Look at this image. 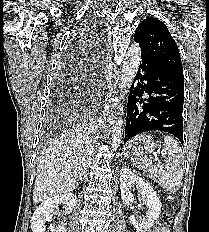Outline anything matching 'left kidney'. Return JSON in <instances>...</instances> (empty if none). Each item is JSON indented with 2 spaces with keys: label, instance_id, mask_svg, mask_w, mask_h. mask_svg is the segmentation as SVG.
<instances>
[{
  "label": "left kidney",
  "instance_id": "1",
  "mask_svg": "<svg viewBox=\"0 0 209 232\" xmlns=\"http://www.w3.org/2000/svg\"><path fill=\"white\" fill-rule=\"evenodd\" d=\"M132 187H136L139 190L141 199L147 206L148 212L142 221H138L134 215L130 216L129 220L137 232H146L158 219L162 204L156 191H154L150 184L133 173L129 167L124 166L120 171V189L121 198L125 205L134 202V196L131 192Z\"/></svg>",
  "mask_w": 209,
  "mask_h": 232
}]
</instances>
